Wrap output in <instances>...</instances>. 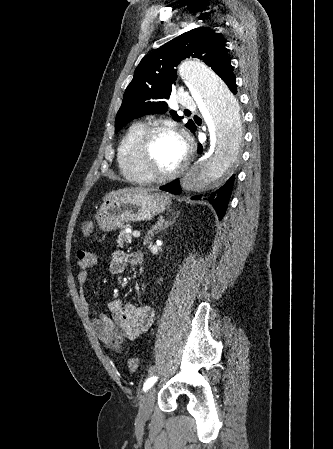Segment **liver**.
<instances>
[{"label": "liver", "instance_id": "6515ba94", "mask_svg": "<svg viewBox=\"0 0 333 449\" xmlns=\"http://www.w3.org/2000/svg\"><path fill=\"white\" fill-rule=\"evenodd\" d=\"M135 192H148V190L145 189H135V188H124V189H118L116 191H111L110 193L106 194V196L103 198V200H111L113 198L120 197L121 195L128 194V193H135Z\"/></svg>", "mask_w": 333, "mask_h": 449}]
</instances>
